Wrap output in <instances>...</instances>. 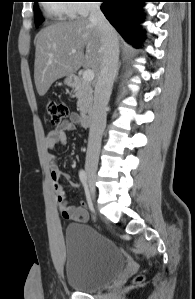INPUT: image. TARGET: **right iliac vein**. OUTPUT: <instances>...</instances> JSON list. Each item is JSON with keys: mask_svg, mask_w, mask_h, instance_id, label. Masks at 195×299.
I'll return each instance as SVG.
<instances>
[{"mask_svg": "<svg viewBox=\"0 0 195 299\" xmlns=\"http://www.w3.org/2000/svg\"><path fill=\"white\" fill-rule=\"evenodd\" d=\"M87 180L89 185V195L92 200L95 198V182H96V166L87 165L86 167Z\"/></svg>", "mask_w": 195, "mask_h": 299, "instance_id": "right-iliac-vein-1", "label": "right iliac vein"}]
</instances>
